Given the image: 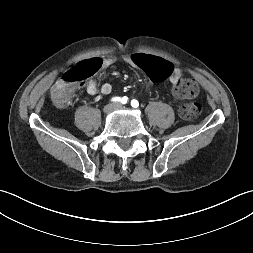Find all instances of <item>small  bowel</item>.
<instances>
[{
	"label": "small bowel",
	"instance_id": "c3829d8e",
	"mask_svg": "<svg viewBox=\"0 0 253 253\" xmlns=\"http://www.w3.org/2000/svg\"><path fill=\"white\" fill-rule=\"evenodd\" d=\"M136 54V53H135ZM135 54H131V55H128L124 58V61L129 64L130 66L132 67H135V68H139L138 67V64H136L134 62V55ZM100 60L101 62V67L103 68H108V67H111L112 65L115 64L116 62V57L113 56V55H108L104 58H97ZM172 66V65H171ZM168 77V80L171 84L173 85H176L178 83V81L181 79L182 77V70L178 67H174L172 66V70H171V73L166 76ZM86 91L89 95H95L97 94L98 92V86H97V83L93 80L89 81L87 84H86ZM112 91V85L109 84V83H104L101 87H100V92L104 95H108L110 94Z\"/></svg>",
	"mask_w": 253,
	"mask_h": 253
}]
</instances>
